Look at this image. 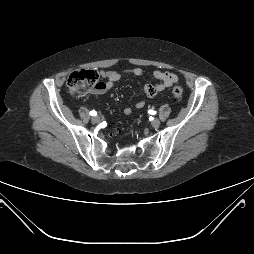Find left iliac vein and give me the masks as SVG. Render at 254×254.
<instances>
[{
	"mask_svg": "<svg viewBox=\"0 0 254 254\" xmlns=\"http://www.w3.org/2000/svg\"><path fill=\"white\" fill-rule=\"evenodd\" d=\"M151 125L154 127V128H157L159 127L160 125V120L159 119H154L152 122H151Z\"/></svg>",
	"mask_w": 254,
	"mask_h": 254,
	"instance_id": "4c4485c4",
	"label": "left iliac vein"
}]
</instances>
